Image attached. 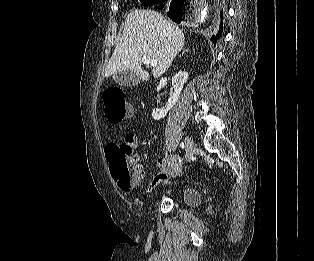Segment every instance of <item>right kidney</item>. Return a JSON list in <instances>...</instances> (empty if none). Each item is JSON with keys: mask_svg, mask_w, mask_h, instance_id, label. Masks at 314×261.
I'll list each match as a JSON object with an SVG mask.
<instances>
[{"mask_svg": "<svg viewBox=\"0 0 314 261\" xmlns=\"http://www.w3.org/2000/svg\"><path fill=\"white\" fill-rule=\"evenodd\" d=\"M187 80H188V73L183 72V71L176 73L172 77V86L174 88V92H172L169 95L165 109H157L156 108L152 111V117L154 120H160V119L164 118L167 115L168 111L173 108V106L178 101L180 94H181V91L183 89V86L187 82Z\"/></svg>", "mask_w": 314, "mask_h": 261, "instance_id": "1", "label": "right kidney"}]
</instances>
